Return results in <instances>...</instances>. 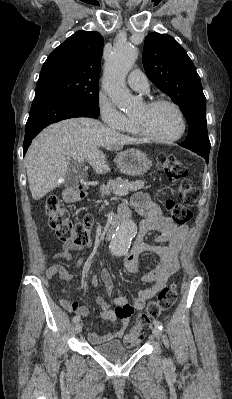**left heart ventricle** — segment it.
<instances>
[{
  "instance_id": "obj_1",
  "label": "left heart ventricle",
  "mask_w": 232,
  "mask_h": 399,
  "mask_svg": "<svg viewBox=\"0 0 232 399\" xmlns=\"http://www.w3.org/2000/svg\"><path fill=\"white\" fill-rule=\"evenodd\" d=\"M133 118L141 122L146 132L157 138L174 137L181 129L179 114L170 105H159L153 108L142 105Z\"/></svg>"
}]
</instances>
